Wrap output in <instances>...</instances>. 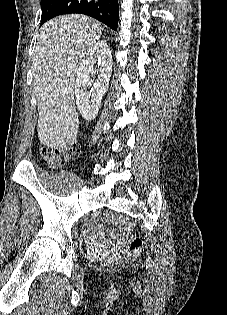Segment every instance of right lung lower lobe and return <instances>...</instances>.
Returning <instances> with one entry per match:
<instances>
[{
    "label": "right lung lower lobe",
    "mask_w": 227,
    "mask_h": 315,
    "mask_svg": "<svg viewBox=\"0 0 227 315\" xmlns=\"http://www.w3.org/2000/svg\"><path fill=\"white\" fill-rule=\"evenodd\" d=\"M85 14L117 31L118 0H59L49 8L47 20L63 14Z\"/></svg>",
    "instance_id": "obj_1"
}]
</instances>
